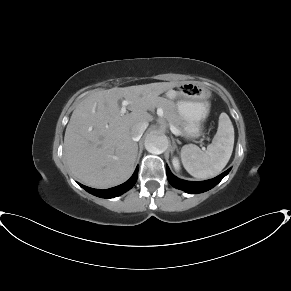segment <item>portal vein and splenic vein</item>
Returning <instances> with one entry per match:
<instances>
[{
	"instance_id": "obj_1",
	"label": "portal vein and splenic vein",
	"mask_w": 291,
	"mask_h": 291,
	"mask_svg": "<svg viewBox=\"0 0 291 291\" xmlns=\"http://www.w3.org/2000/svg\"><path fill=\"white\" fill-rule=\"evenodd\" d=\"M130 103H131V102H130V101H127V100H123V101H122V107H121V110H120V112H121L122 115L126 113V111H127V110H126V107H127ZM157 114H158V116H159L160 118L163 117V111H162V110H159ZM169 127H170L171 132H172L174 135H180V131H179V130L174 126V125L169 124ZM202 149L205 150L204 147H203Z\"/></svg>"
}]
</instances>
